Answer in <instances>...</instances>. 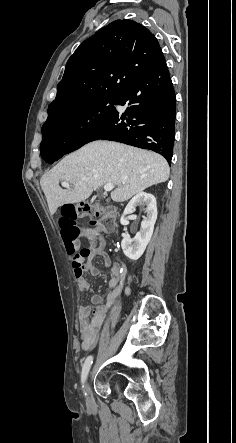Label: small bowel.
I'll use <instances>...</instances> for the list:
<instances>
[{
  "instance_id": "1",
  "label": "small bowel",
  "mask_w": 236,
  "mask_h": 443,
  "mask_svg": "<svg viewBox=\"0 0 236 443\" xmlns=\"http://www.w3.org/2000/svg\"><path fill=\"white\" fill-rule=\"evenodd\" d=\"M88 244L90 254L84 262L82 269L73 268L79 290L87 292L90 289V284L85 278L84 273L92 276L100 275L99 268L92 262L94 258H101L106 268L109 269L110 279L108 287L113 290L108 293L106 298L100 295L91 296L90 304L80 308V339L83 350H88L95 345L103 325L104 314L107 309L116 303L118 296L123 290L124 282L128 277L126 265L123 262L112 263L109 255L103 250L104 240L98 229L88 231Z\"/></svg>"
}]
</instances>
